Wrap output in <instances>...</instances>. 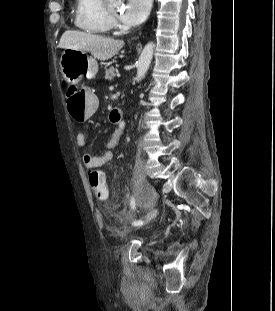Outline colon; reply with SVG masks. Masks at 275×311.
I'll use <instances>...</instances> for the list:
<instances>
[{"instance_id":"5ec220e1","label":"colon","mask_w":275,"mask_h":311,"mask_svg":"<svg viewBox=\"0 0 275 311\" xmlns=\"http://www.w3.org/2000/svg\"><path fill=\"white\" fill-rule=\"evenodd\" d=\"M98 98L95 92H85L70 89L67 96V107L73 121H90L95 117ZM90 187L99 200H106L109 196L105 184V177L101 171L94 170L89 174Z\"/></svg>"}]
</instances>
